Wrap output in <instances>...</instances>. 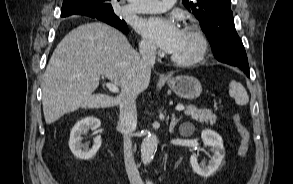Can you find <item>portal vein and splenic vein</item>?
I'll return each instance as SVG.
<instances>
[{
  "label": "portal vein and splenic vein",
  "mask_w": 293,
  "mask_h": 184,
  "mask_svg": "<svg viewBox=\"0 0 293 184\" xmlns=\"http://www.w3.org/2000/svg\"><path fill=\"white\" fill-rule=\"evenodd\" d=\"M106 87L108 88L109 91L113 93H119V88L114 83H106ZM175 109L177 111H182L185 109V107L183 105H177Z\"/></svg>",
  "instance_id": "18ae733b"
}]
</instances>
